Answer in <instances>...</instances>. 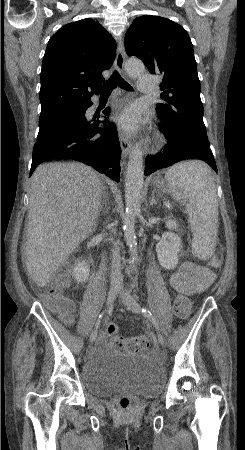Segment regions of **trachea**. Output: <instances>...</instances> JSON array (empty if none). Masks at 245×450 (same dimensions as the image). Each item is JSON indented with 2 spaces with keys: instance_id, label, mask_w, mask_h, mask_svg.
Returning a JSON list of instances; mask_svg holds the SVG:
<instances>
[{
  "instance_id": "obj_1",
  "label": "trachea",
  "mask_w": 245,
  "mask_h": 450,
  "mask_svg": "<svg viewBox=\"0 0 245 450\" xmlns=\"http://www.w3.org/2000/svg\"><path fill=\"white\" fill-rule=\"evenodd\" d=\"M117 86L124 90H132V87L120 76V74L117 71H114L111 78L105 83L101 95H110L112 90Z\"/></svg>"
}]
</instances>
